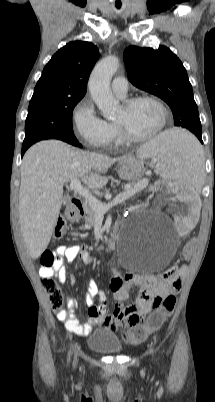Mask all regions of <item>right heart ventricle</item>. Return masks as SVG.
I'll return each mask as SVG.
<instances>
[{"mask_svg":"<svg viewBox=\"0 0 215 402\" xmlns=\"http://www.w3.org/2000/svg\"><path fill=\"white\" fill-rule=\"evenodd\" d=\"M109 124H110V126L112 128V132H113L110 142H114L115 144H122L124 140L122 139V137L119 133L116 123H109Z\"/></svg>","mask_w":215,"mask_h":402,"instance_id":"e07e8e85","label":"right heart ventricle"}]
</instances>
